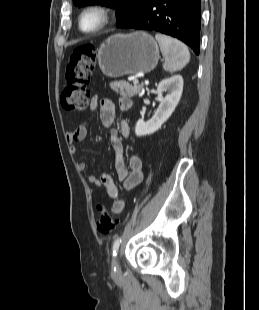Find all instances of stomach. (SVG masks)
<instances>
[{
	"label": "stomach",
	"instance_id": "1",
	"mask_svg": "<svg viewBox=\"0 0 259 310\" xmlns=\"http://www.w3.org/2000/svg\"><path fill=\"white\" fill-rule=\"evenodd\" d=\"M159 57L157 42L144 32L112 35L101 44L97 54L102 73L110 78L150 72Z\"/></svg>",
	"mask_w": 259,
	"mask_h": 310
}]
</instances>
